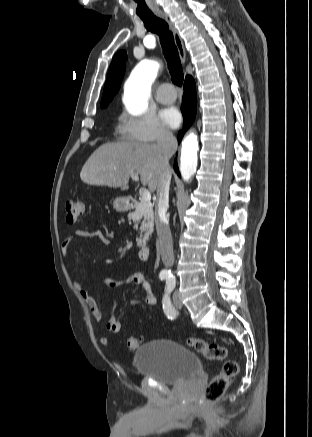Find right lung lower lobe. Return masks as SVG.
<instances>
[{
  "label": "right lung lower lobe",
  "instance_id": "obj_1",
  "mask_svg": "<svg viewBox=\"0 0 312 437\" xmlns=\"http://www.w3.org/2000/svg\"><path fill=\"white\" fill-rule=\"evenodd\" d=\"M196 108H197V98H196V88H195V81L191 76H186L185 83H184V95L182 100V113L184 117V130L181 131L178 134V142L180 143L183 132H185L190 125L193 123L196 115ZM174 169L179 173L178 166L176 164V161L174 162Z\"/></svg>",
  "mask_w": 312,
  "mask_h": 437
}]
</instances>
